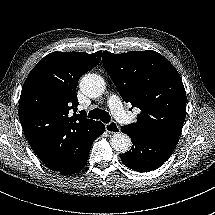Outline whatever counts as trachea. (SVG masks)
<instances>
[{
	"mask_svg": "<svg viewBox=\"0 0 215 215\" xmlns=\"http://www.w3.org/2000/svg\"><path fill=\"white\" fill-rule=\"evenodd\" d=\"M88 117L91 119H99L104 123H109L111 119L109 113L105 110H101L100 108L91 110L88 114Z\"/></svg>",
	"mask_w": 215,
	"mask_h": 215,
	"instance_id": "obj_1",
	"label": "trachea"
}]
</instances>
